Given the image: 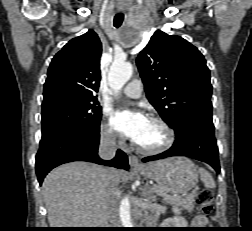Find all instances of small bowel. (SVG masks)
<instances>
[{
  "mask_svg": "<svg viewBox=\"0 0 252 231\" xmlns=\"http://www.w3.org/2000/svg\"><path fill=\"white\" fill-rule=\"evenodd\" d=\"M207 223L208 219L204 215H196L192 221L193 226H204Z\"/></svg>",
  "mask_w": 252,
  "mask_h": 231,
  "instance_id": "c3829d8e",
  "label": "small bowel"
}]
</instances>
